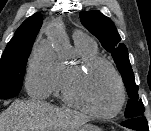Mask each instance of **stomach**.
Segmentation results:
<instances>
[{
  "label": "stomach",
  "instance_id": "1",
  "mask_svg": "<svg viewBox=\"0 0 151 131\" xmlns=\"http://www.w3.org/2000/svg\"><path fill=\"white\" fill-rule=\"evenodd\" d=\"M78 131H102L99 127L87 124L82 126Z\"/></svg>",
  "mask_w": 151,
  "mask_h": 131
}]
</instances>
